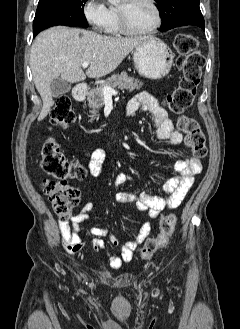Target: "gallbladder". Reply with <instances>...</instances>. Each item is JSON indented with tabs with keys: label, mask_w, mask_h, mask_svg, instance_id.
Instances as JSON below:
<instances>
[{
	"label": "gallbladder",
	"mask_w": 240,
	"mask_h": 329,
	"mask_svg": "<svg viewBox=\"0 0 240 329\" xmlns=\"http://www.w3.org/2000/svg\"><path fill=\"white\" fill-rule=\"evenodd\" d=\"M51 94L53 97H58L71 90V84L62 78H56L50 85Z\"/></svg>",
	"instance_id": "gallbladder-1"
}]
</instances>
